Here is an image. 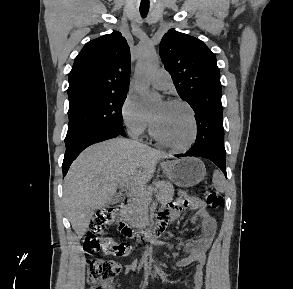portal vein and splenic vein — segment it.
Returning a JSON list of instances; mask_svg holds the SVG:
<instances>
[{"instance_id": "obj_1", "label": "portal vein and splenic vein", "mask_w": 293, "mask_h": 289, "mask_svg": "<svg viewBox=\"0 0 293 289\" xmlns=\"http://www.w3.org/2000/svg\"><path fill=\"white\" fill-rule=\"evenodd\" d=\"M124 186H126L129 190H131L133 194H138V193L144 192V189L139 188V187H135V186L129 184L128 182Z\"/></svg>"}]
</instances>
